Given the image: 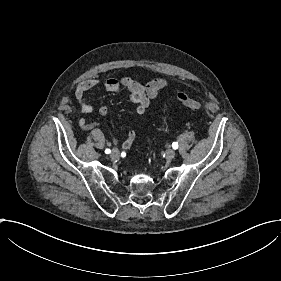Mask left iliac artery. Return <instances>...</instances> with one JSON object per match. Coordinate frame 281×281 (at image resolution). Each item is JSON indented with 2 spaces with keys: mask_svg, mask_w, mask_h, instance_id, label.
I'll use <instances>...</instances> for the list:
<instances>
[{
  "mask_svg": "<svg viewBox=\"0 0 281 281\" xmlns=\"http://www.w3.org/2000/svg\"><path fill=\"white\" fill-rule=\"evenodd\" d=\"M172 147H173V149H178V143L177 142H173L172 143Z\"/></svg>",
  "mask_w": 281,
  "mask_h": 281,
  "instance_id": "1",
  "label": "left iliac artery"
}]
</instances>
